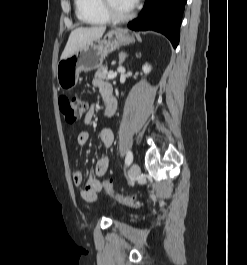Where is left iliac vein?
I'll return each instance as SVG.
<instances>
[{"mask_svg":"<svg viewBox=\"0 0 247 265\" xmlns=\"http://www.w3.org/2000/svg\"><path fill=\"white\" fill-rule=\"evenodd\" d=\"M140 173V168L136 163H133L130 167V182H133Z\"/></svg>","mask_w":247,"mask_h":265,"instance_id":"4c4485c4","label":"left iliac vein"}]
</instances>
